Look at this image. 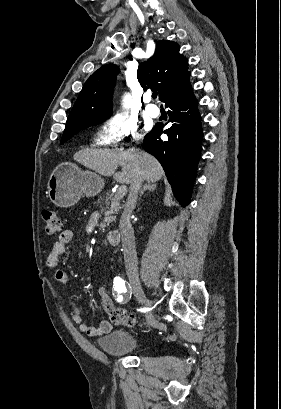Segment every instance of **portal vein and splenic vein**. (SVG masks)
<instances>
[{"instance_id":"18ae733b","label":"portal vein and splenic vein","mask_w":281,"mask_h":409,"mask_svg":"<svg viewBox=\"0 0 281 409\" xmlns=\"http://www.w3.org/2000/svg\"><path fill=\"white\" fill-rule=\"evenodd\" d=\"M126 190H127V185L121 184L119 190L117 191V194L122 197L126 194Z\"/></svg>"}]
</instances>
